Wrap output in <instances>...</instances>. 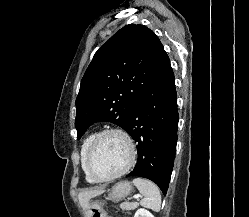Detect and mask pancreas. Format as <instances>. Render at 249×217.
<instances>
[{
	"mask_svg": "<svg viewBox=\"0 0 249 217\" xmlns=\"http://www.w3.org/2000/svg\"><path fill=\"white\" fill-rule=\"evenodd\" d=\"M139 206V204L137 202H123L121 205H120V208L122 210H134L136 209L137 207Z\"/></svg>",
	"mask_w": 249,
	"mask_h": 217,
	"instance_id": "1",
	"label": "pancreas"
}]
</instances>
